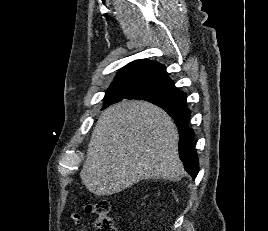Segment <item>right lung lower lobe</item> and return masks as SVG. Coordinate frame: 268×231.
Masks as SVG:
<instances>
[{
    "label": "right lung lower lobe",
    "instance_id": "obj_1",
    "mask_svg": "<svg viewBox=\"0 0 268 231\" xmlns=\"http://www.w3.org/2000/svg\"><path fill=\"white\" fill-rule=\"evenodd\" d=\"M175 121L179 131V157L184 164L185 170L196 178L199 172L197 153L194 148V131L188 125L190 110L186 106L161 107Z\"/></svg>",
    "mask_w": 268,
    "mask_h": 231
}]
</instances>
